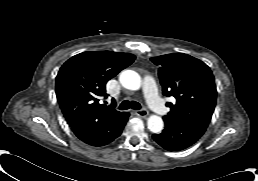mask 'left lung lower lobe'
<instances>
[{
    "instance_id": "1",
    "label": "left lung lower lobe",
    "mask_w": 258,
    "mask_h": 181,
    "mask_svg": "<svg viewBox=\"0 0 258 181\" xmlns=\"http://www.w3.org/2000/svg\"><path fill=\"white\" fill-rule=\"evenodd\" d=\"M165 129L160 134H153V139L168 151L183 150L194 144L205 130L197 127L164 120Z\"/></svg>"
}]
</instances>
